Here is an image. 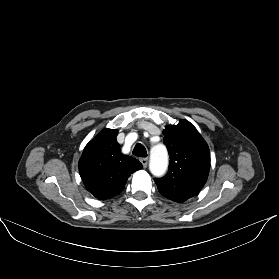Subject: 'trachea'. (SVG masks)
Segmentation results:
<instances>
[{
	"label": "trachea",
	"mask_w": 279,
	"mask_h": 279,
	"mask_svg": "<svg viewBox=\"0 0 279 279\" xmlns=\"http://www.w3.org/2000/svg\"><path fill=\"white\" fill-rule=\"evenodd\" d=\"M137 157H147V151L141 143H137L132 152Z\"/></svg>",
	"instance_id": "3493384b"
}]
</instances>
